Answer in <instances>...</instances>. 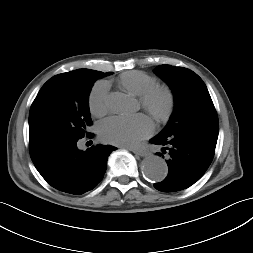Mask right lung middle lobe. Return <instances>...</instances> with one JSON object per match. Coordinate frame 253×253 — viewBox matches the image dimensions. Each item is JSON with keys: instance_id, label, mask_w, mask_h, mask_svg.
<instances>
[{"instance_id": "obj_1", "label": "right lung middle lobe", "mask_w": 253, "mask_h": 253, "mask_svg": "<svg viewBox=\"0 0 253 253\" xmlns=\"http://www.w3.org/2000/svg\"><path fill=\"white\" fill-rule=\"evenodd\" d=\"M94 70L67 72L49 79L29 113L30 156L33 163L84 137L92 124L89 93L94 82L107 76Z\"/></svg>"}]
</instances>
